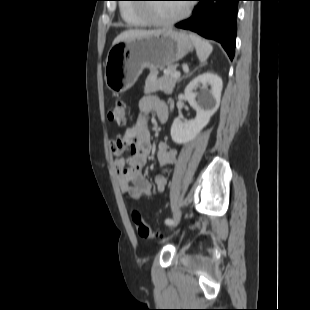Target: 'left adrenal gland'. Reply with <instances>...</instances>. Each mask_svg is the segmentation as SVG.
Returning a JSON list of instances; mask_svg holds the SVG:
<instances>
[{
	"mask_svg": "<svg viewBox=\"0 0 310 310\" xmlns=\"http://www.w3.org/2000/svg\"><path fill=\"white\" fill-rule=\"evenodd\" d=\"M192 74V72L191 73H189L187 76H185V77H188V76H190ZM184 78V77H183ZM183 78H181V79H179V81L178 82H180Z\"/></svg>",
	"mask_w": 310,
	"mask_h": 310,
	"instance_id": "a2214340",
	"label": "left adrenal gland"
}]
</instances>
